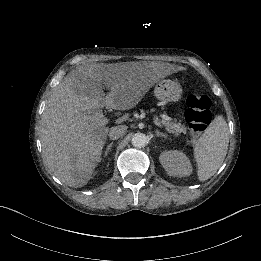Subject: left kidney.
Masks as SVG:
<instances>
[{"mask_svg":"<svg viewBox=\"0 0 261 261\" xmlns=\"http://www.w3.org/2000/svg\"><path fill=\"white\" fill-rule=\"evenodd\" d=\"M159 161L169 176L185 177L192 173L190 160L178 150L161 152Z\"/></svg>","mask_w":261,"mask_h":261,"instance_id":"obj_1","label":"left kidney"}]
</instances>
